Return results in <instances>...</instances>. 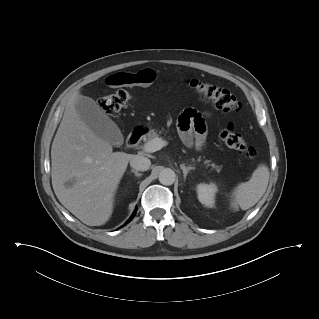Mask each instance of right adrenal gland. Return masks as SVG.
<instances>
[{
    "instance_id": "right-adrenal-gland-1",
    "label": "right adrenal gland",
    "mask_w": 319,
    "mask_h": 319,
    "mask_svg": "<svg viewBox=\"0 0 319 319\" xmlns=\"http://www.w3.org/2000/svg\"><path fill=\"white\" fill-rule=\"evenodd\" d=\"M131 172L132 173H134L135 174V176H137V177H140V176H142V174L141 173H139L137 170H131Z\"/></svg>"
}]
</instances>
